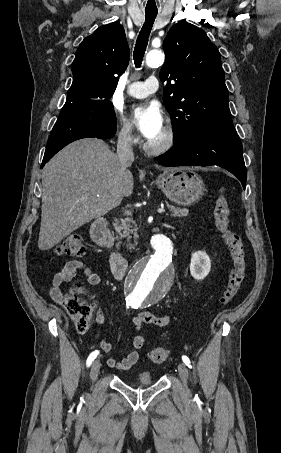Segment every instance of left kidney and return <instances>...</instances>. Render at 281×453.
Here are the masks:
<instances>
[{"mask_svg": "<svg viewBox=\"0 0 281 453\" xmlns=\"http://www.w3.org/2000/svg\"><path fill=\"white\" fill-rule=\"evenodd\" d=\"M211 261L205 251L193 253L190 263V273L197 281H202L210 273Z\"/></svg>", "mask_w": 281, "mask_h": 453, "instance_id": "obj_1", "label": "left kidney"}]
</instances>
